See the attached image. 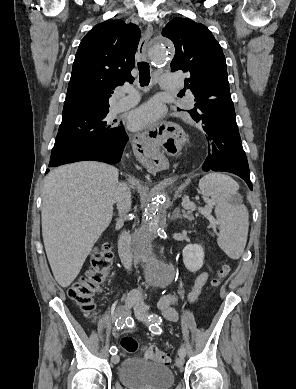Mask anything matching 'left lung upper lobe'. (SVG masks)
Segmentation results:
<instances>
[{"instance_id": "obj_1", "label": "left lung upper lobe", "mask_w": 296, "mask_h": 389, "mask_svg": "<svg viewBox=\"0 0 296 389\" xmlns=\"http://www.w3.org/2000/svg\"><path fill=\"white\" fill-rule=\"evenodd\" d=\"M162 35L175 45L171 71L186 74L185 86L196 101L188 112L196 122H201L202 114L211 104L217 103L221 96L230 95L222 48L205 25L188 18L173 19Z\"/></svg>"}]
</instances>
